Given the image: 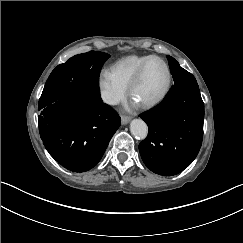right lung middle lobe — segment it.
Returning a JSON list of instances; mask_svg holds the SVG:
<instances>
[{"label":"right lung middle lobe","mask_w":243,"mask_h":243,"mask_svg":"<svg viewBox=\"0 0 243 243\" xmlns=\"http://www.w3.org/2000/svg\"><path fill=\"white\" fill-rule=\"evenodd\" d=\"M109 57L110 55L104 52L89 51L75 55L66 63L58 65L45 84L38 110L73 91L100 95L99 74L102 65Z\"/></svg>","instance_id":"1"}]
</instances>
